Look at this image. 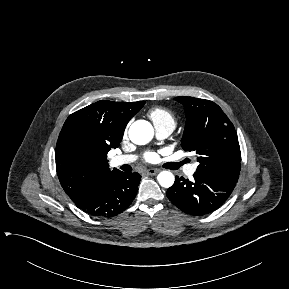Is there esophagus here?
<instances>
[{"mask_svg": "<svg viewBox=\"0 0 289 289\" xmlns=\"http://www.w3.org/2000/svg\"><path fill=\"white\" fill-rule=\"evenodd\" d=\"M159 172L158 169L150 168L145 171L147 175H156Z\"/></svg>", "mask_w": 289, "mask_h": 289, "instance_id": "obj_1", "label": "esophagus"}]
</instances>
